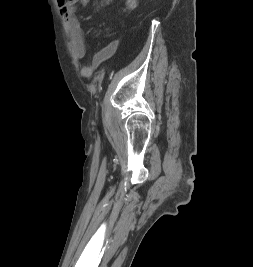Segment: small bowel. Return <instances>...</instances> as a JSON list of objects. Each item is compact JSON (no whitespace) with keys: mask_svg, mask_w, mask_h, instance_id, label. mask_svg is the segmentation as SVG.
<instances>
[{"mask_svg":"<svg viewBox=\"0 0 253 267\" xmlns=\"http://www.w3.org/2000/svg\"><path fill=\"white\" fill-rule=\"evenodd\" d=\"M82 4H85L87 0H80ZM106 4H109L111 0H104ZM61 15L65 21V24L68 29L71 46L74 52V55L78 59H82L86 54V47L84 43V35L81 29L80 23L75 15L76 8L71 7H60ZM119 45V40H112L106 46H104L97 54L93 57V64L99 65L104 60L111 57L117 50ZM85 70L86 67L83 66Z\"/></svg>","mask_w":253,"mask_h":267,"instance_id":"obj_1","label":"small bowel"}]
</instances>
